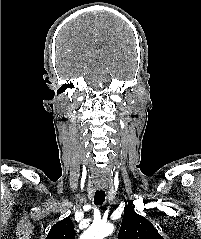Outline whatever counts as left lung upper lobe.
Here are the masks:
<instances>
[{
  "mask_svg": "<svg viewBox=\"0 0 201 239\" xmlns=\"http://www.w3.org/2000/svg\"><path fill=\"white\" fill-rule=\"evenodd\" d=\"M118 239H163L153 224L134 211L129 204L124 209V216Z\"/></svg>",
  "mask_w": 201,
  "mask_h": 239,
  "instance_id": "1",
  "label": "left lung upper lobe"
}]
</instances>
